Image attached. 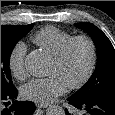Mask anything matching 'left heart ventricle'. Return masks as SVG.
<instances>
[{"instance_id": "1", "label": "left heart ventricle", "mask_w": 115, "mask_h": 115, "mask_svg": "<svg viewBox=\"0 0 115 115\" xmlns=\"http://www.w3.org/2000/svg\"><path fill=\"white\" fill-rule=\"evenodd\" d=\"M89 50L83 43L75 44L66 60L58 65L54 61L51 62L48 75L59 76L67 86L80 80L89 66Z\"/></svg>"}]
</instances>
